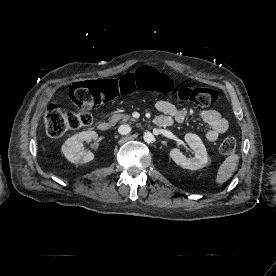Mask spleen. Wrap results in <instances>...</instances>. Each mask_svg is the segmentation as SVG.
<instances>
[{"label":"spleen","instance_id":"obj_1","mask_svg":"<svg viewBox=\"0 0 276 276\" xmlns=\"http://www.w3.org/2000/svg\"><path fill=\"white\" fill-rule=\"evenodd\" d=\"M238 161V155L233 154L227 157L219 166L215 183L220 186L224 184L226 181H228L232 177L234 172L237 170Z\"/></svg>","mask_w":276,"mask_h":276}]
</instances>
